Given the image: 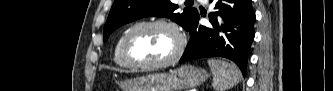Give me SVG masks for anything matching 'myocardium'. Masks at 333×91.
Instances as JSON below:
<instances>
[{
	"instance_id": "f54148a6",
	"label": "myocardium",
	"mask_w": 333,
	"mask_h": 91,
	"mask_svg": "<svg viewBox=\"0 0 333 91\" xmlns=\"http://www.w3.org/2000/svg\"><path fill=\"white\" fill-rule=\"evenodd\" d=\"M155 26H161L169 28L174 35L177 38V46L172 54L171 57H169L166 60L154 62V63H144L135 60L131 54H130V40L132 36L139 30L147 27H155ZM185 49V37L183 35V32L178 27V25L172 21L164 20V19H155V20H149V21H142L135 25H133L131 28L127 30L125 33L123 40H122V46H121V52L124 60L133 68L138 69H144V70H151V69H160L168 67L175 62H177L180 57L182 56Z\"/></svg>"
}]
</instances>
